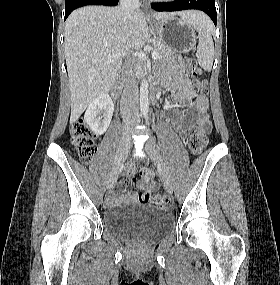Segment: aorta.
<instances>
[{
	"label": "aorta",
	"instance_id": "aorta-1",
	"mask_svg": "<svg viewBox=\"0 0 280 285\" xmlns=\"http://www.w3.org/2000/svg\"><path fill=\"white\" fill-rule=\"evenodd\" d=\"M149 111V85L143 80L140 85V112L143 116H147Z\"/></svg>",
	"mask_w": 280,
	"mask_h": 285
}]
</instances>
